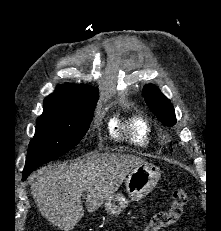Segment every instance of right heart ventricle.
<instances>
[{
  "instance_id": "right-heart-ventricle-1",
  "label": "right heart ventricle",
  "mask_w": 221,
  "mask_h": 231,
  "mask_svg": "<svg viewBox=\"0 0 221 231\" xmlns=\"http://www.w3.org/2000/svg\"><path fill=\"white\" fill-rule=\"evenodd\" d=\"M112 128L120 130L130 142L139 146L148 145L152 134L149 122L140 115H134L124 121H114Z\"/></svg>"
}]
</instances>
